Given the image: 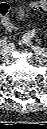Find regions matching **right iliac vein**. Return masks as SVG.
Segmentation results:
<instances>
[{
  "mask_svg": "<svg viewBox=\"0 0 47 129\" xmlns=\"http://www.w3.org/2000/svg\"><path fill=\"white\" fill-rule=\"evenodd\" d=\"M8 46H7V44L6 45H1L0 46V52H1V54H3V53H5L7 50H8Z\"/></svg>",
  "mask_w": 47,
  "mask_h": 129,
  "instance_id": "1",
  "label": "right iliac vein"
}]
</instances>
